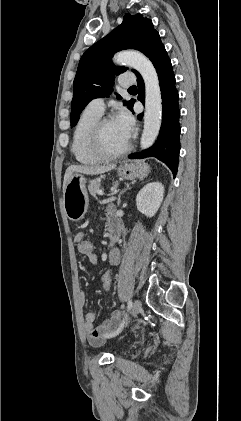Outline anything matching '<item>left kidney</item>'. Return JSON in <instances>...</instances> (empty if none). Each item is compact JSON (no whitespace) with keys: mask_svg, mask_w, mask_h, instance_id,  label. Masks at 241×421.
I'll return each instance as SVG.
<instances>
[{"mask_svg":"<svg viewBox=\"0 0 241 421\" xmlns=\"http://www.w3.org/2000/svg\"><path fill=\"white\" fill-rule=\"evenodd\" d=\"M163 197L164 186L160 182L148 183L137 194V208L147 217H153L158 211Z\"/></svg>","mask_w":241,"mask_h":421,"instance_id":"5707ae66","label":"left kidney"}]
</instances>
